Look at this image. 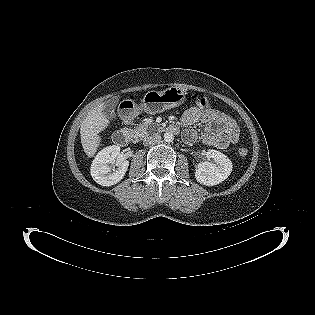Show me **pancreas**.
Here are the masks:
<instances>
[{
	"mask_svg": "<svg viewBox=\"0 0 315 315\" xmlns=\"http://www.w3.org/2000/svg\"><path fill=\"white\" fill-rule=\"evenodd\" d=\"M152 125L155 126V123L143 122L142 124H138L135 129H129L130 136L135 140L143 138L148 135V128Z\"/></svg>",
	"mask_w": 315,
	"mask_h": 315,
	"instance_id": "pancreas-1",
	"label": "pancreas"
}]
</instances>
